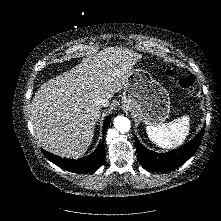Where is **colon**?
<instances>
[{"label":"colon","instance_id":"5ec220e1","mask_svg":"<svg viewBox=\"0 0 221 221\" xmlns=\"http://www.w3.org/2000/svg\"><path fill=\"white\" fill-rule=\"evenodd\" d=\"M166 74L169 77H174V71L171 69H166ZM179 84L182 88L188 90L189 92H193L196 87V80L195 77L191 74H187L179 79Z\"/></svg>","mask_w":221,"mask_h":221}]
</instances>
